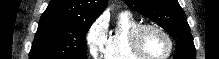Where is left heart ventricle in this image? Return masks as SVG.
Masks as SVG:
<instances>
[{"label": "left heart ventricle", "instance_id": "left-heart-ventricle-1", "mask_svg": "<svg viewBox=\"0 0 219 59\" xmlns=\"http://www.w3.org/2000/svg\"><path fill=\"white\" fill-rule=\"evenodd\" d=\"M141 46L143 51L151 57H162L169 49L167 39L154 29H147L143 32Z\"/></svg>", "mask_w": 219, "mask_h": 59}]
</instances>
